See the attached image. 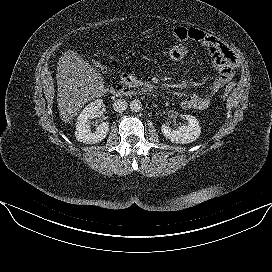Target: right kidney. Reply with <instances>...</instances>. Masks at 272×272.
<instances>
[{
    "instance_id": "ca27d5eb",
    "label": "right kidney",
    "mask_w": 272,
    "mask_h": 272,
    "mask_svg": "<svg viewBox=\"0 0 272 272\" xmlns=\"http://www.w3.org/2000/svg\"><path fill=\"white\" fill-rule=\"evenodd\" d=\"M102 106L103 100L95 99L82 110L76 122L75 137L78 141L95 144L101 142L107 136L109 131L108 122L100 123L95 132H90V121L99 116Z\"/></svg>"
}]
</instances>
